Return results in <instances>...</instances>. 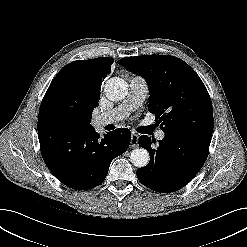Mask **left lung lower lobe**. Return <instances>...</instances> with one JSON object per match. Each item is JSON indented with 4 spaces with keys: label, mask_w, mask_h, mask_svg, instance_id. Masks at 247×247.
<instances>
[{
    "label": "left lung lower lobe",
    "mask_w": 247,
    "mask_h": 247,
    "mask_svg": "<svg viewBox=\"0 0 247 247\" xmlns=\"http://www.w3.org/2000/svg\"><path fill=\"white\" fill-rule=\"evenodd\" d=\"M153 143L154 138L139 137V145L150 153V161L136 174L144 186L162 193L188 184L205 163L210 146V140L171 134H165L157 148Z\"/></svg>",
    "instance_id": "1"
}]
</instances>
